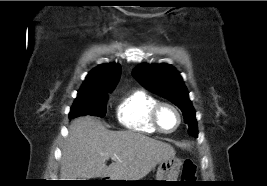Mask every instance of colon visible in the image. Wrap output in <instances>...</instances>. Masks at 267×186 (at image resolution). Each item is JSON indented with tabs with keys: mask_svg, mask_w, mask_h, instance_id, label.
I'll use <instances>...</instances> for the list:
<instances>
[{
	"mask_svg": "<svg viewBox=\"0 0 267 186\" xmlns=\"http://www.w3.org/2000/svg\"><path fill=\"white\" fill-rule=\"evenodd\" d=\"M196 163L193 159H186L183 162L181 179L185 182H193L196 178Z\"/></svg>",
	"mask_w": 267,
	"mask_h": 186,
	"instance_id": "colon-1",
	"label": "colon"
}]
</instances>
